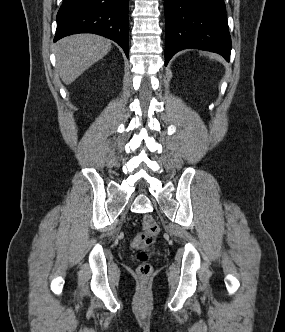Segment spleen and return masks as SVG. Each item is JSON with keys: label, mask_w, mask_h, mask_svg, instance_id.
I'll return each instance as SVG.
<instances>
[{"label": "spleen", "mask_w": 285, "mask_h": 332, "mask_svg": "<svg viewBox=\"0 0 285 332\" xmlns=\"http://www.w3.org/2000/svg\"><path fill=\"white\" fill-rule=\"evenodd\" d=\"M210 58H211V59H213V58H214V56H213V55H211V56H210Z\"/></svg>", "instance_id": "3e777b00"}]
</instances>
